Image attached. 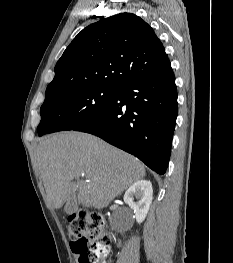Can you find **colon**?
Here are the masks:
<instances>
[{"label":"colon","instance_id":"5ec220e1","mask_svg":"<svg viewBox=\"0 0 233 263\" xmlns=\"http://www.w3.org/2000/svg\"><path fill=\"white\" fill-rule=\"evenodd\" d=\"M102 213L80 210L69 216L67 231L78 263H104L110 237Z\"/></svg>","mask_w":233,"mask_h":263}]
</instances>
